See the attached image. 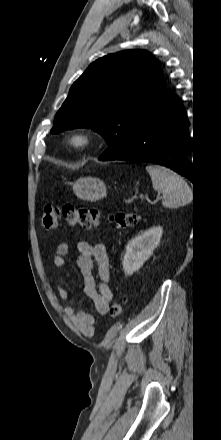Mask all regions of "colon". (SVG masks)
<instances>
[{
	"mask_svg": "<svg viewBox=\"0 0 221 440\" xmlns=\"http://www.w3.org/2000/svg\"><path fill=\"white\" fill-rule=\"evenodd\" d=\"M139 215L130 212H117L110 215V221L117 227H132L139 221ZM100 212L95 208L81 207L74 205H48L42 214V225L45 229H56L61 221H65L70 226H81L92 228L98 225ZM123 300L114 302L110 309L113 318L121 316L123 311Z\"/></svg>",
	"mask_w": 221,
	"mask_h": 440,
	"instance_id": "colon-1",
	"label": "colon"
}]
</instances>
